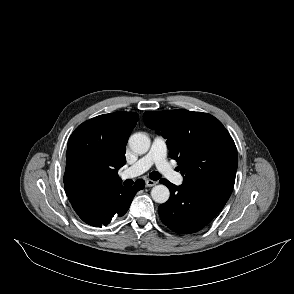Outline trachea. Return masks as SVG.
Wrapping results in <instances>:
<instances>
[{
    "label": "trachea",
    "mask_w": 294,
    "mask_h": 294,
    "mask_svg": "<svg viewBox=\"0 0 294 294\" xmlns=\"http://www.w3.org/2000/svg\"><path fill=\"white\" fill-rule=\"evenodd\" d=\"M149 177L152 179V180H158L161 178V174L157 171H153L149 174ZM125 185H132L133 184V181L132 180H126L124 182Z\"/></svg>",
    "instance_id": "trachea-1"
}]
</instances>
